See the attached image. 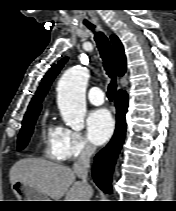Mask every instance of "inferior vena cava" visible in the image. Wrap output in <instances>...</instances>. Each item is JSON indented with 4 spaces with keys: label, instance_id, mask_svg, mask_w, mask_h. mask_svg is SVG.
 <instances>
[{
    "label": "inferior vena cava",
    "instance_id": "602c4592",
    "mask_svg": "<svg viewBox=\"0 0 176 211\" xmlns=\"http://www.w3.org/2000/svg\"><path fill=\"white\" fill-rule=\"evenodd\" d=\"M94 152L95 147L90 143H86L79 158L73 164L74 173L81 179V182L86 186H89L87 182V176L90 166V157L94 154Z\"/></svg>",
    "mask_w": 176,
    "mask_h": 211
}]
</instances>
